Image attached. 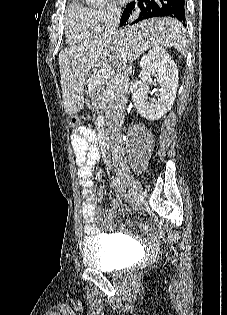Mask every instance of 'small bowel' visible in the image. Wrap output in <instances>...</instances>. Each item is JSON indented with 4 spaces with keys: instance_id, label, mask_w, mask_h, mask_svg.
<instances>
[{
    "instance_id": "c3829d8e",
    "label": "small bowel",
    "mask_w": 227,
    "mask_h": 315,
    "mask_svg": "<svg viewBox=\"0 0 227 315\" xmlns=\"http://www.w3.org/2000/svg\"><path fill=\"white\" fill-rule=\"evenodd\" d=\"M70 143L75 155L77 176L84 198L82 203L83 231L87 235H95L99 233V226L97 224L98 213L94 204L93 172L96 163L100 159L98 139L93 130L83 126L72 132ZM118 208V201L112 200L110 208L105 212L106 217L114 218ZM140 224L142 225L141 222ZM152 235L153 232L150 231L148 236Z\"/></svg>"
}]
</instances>
